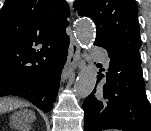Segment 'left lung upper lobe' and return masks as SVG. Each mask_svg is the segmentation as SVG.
Listing matches in <instances>:
<instances>
[{
	"label": "left lung upper lobe",
	"instance_id": "1",
	"mask_svg": "<svg viewBox=\"0 0 151 131\" xmlns=\"http://www.w3.org/2000/svg\"><path fill=\"white\" fill-rule=\"evenodd\" d=\"M80 16L96 24L95 44L105 48L109 57L127 65H140V28L134 0H75Z\"/></svg>",
	"mask_w": 151,
	"mask_h": 131
}]
</instances>
